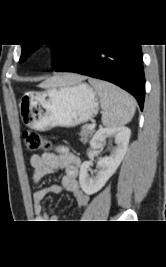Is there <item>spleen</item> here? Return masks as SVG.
<instances>
[{
  "mask_svg": "<svg viewBox=\"0 0 166 267\" xmlns=\"http://www.w3.org/2000/svg\"><path fill=\"white\" fill-rule=\"evenodd\" d=\"M89 83L99 95L104 126L119 127L131 121L136 109V102L131 95L105 81L90 79Z\"/></svg>",
  "mask_w": 166,
  "mask_h": 267,
  "instance_id": "spleen-1",
  "label": "spleen"
}]
</instances>
